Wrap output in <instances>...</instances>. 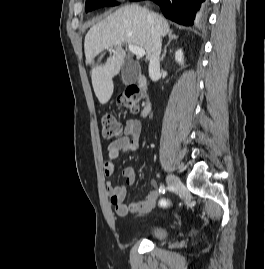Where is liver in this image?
<instances>
[{
	"label": "liver",
	"instance_id": "1",
	"mask_svg": "<svg viewBox=\"0 0 265 269\" xmlns=\"http://www.w3.org/2000/svg\"><path fill=\"white\" fill-rule=\"evenodd\" d=\"M152 26L162 37L170 31L167 20L161 15L132 4L117 9L93 25L86 34V63L92 65V85L101 104L107 103L113 94L112 79L120 72L126 56L123 45L133 44L143 48L146 59L150 60L153 50ZM105 49L111 52L110 57L104 64L95 65L94 58Z\"/></svg>",
	"mask_w": 265,
	"mask_h": 269
}]
</instances>
